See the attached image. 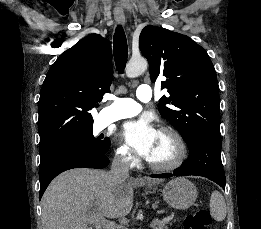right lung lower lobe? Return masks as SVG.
<instances>
[{"instance_id": "98d812e1", "label": "right lung lower lobe", "mask_w": 261, "mask_h": 229, "mask_svg": "<svg viewBox=\"0 0 261 229\" xmlns=\"http://www.w3.org/2000/svg\"><path fill=\"white\" fill-rule=\"evenodd\" d=\"M108 164L107 154L70 155L44 160L39 167V198L41 199L49 183L61 172L81 167L102 169Z\"/></svg>"}]
</instances>
